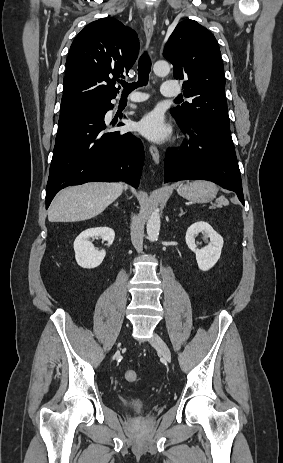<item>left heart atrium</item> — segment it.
<instances>
[{
	"label": "left heart atrium",
	"instance_id": "1",
	"mask_svg": "<svg viewBox=\"0 0 283 463\" xmlns=\"http://www.w3.org/2000/svg\"><path fill=\"white\" fill-rule=\"evenodd\" d=\"M139 130L147 138L154 141L165 140L170 132L162 115L157 112L146 115L139 123Z\"/></svg>",
	"mask_w": 283,
	"mask_h": 463
}]
</instances>
